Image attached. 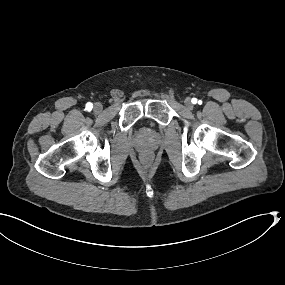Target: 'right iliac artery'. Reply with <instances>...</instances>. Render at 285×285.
I'll use <instances>...</instances> for the list:
<instances>
[{"label":"right iliac artery","mask_w":285,"mask_h":285,"mask_svg":"<svg viewBox=\"0 0 285 285\" xmlns=\"http://www.w3.org/2000/svg\"><path fill=\"white\" fill-rule=\"evenodd\" d=\"M92 107H93V104H92V103L88 102V103L86 104V109H87V110H91Z\"/></svg>","instance_id":"obj_1"}]
</instances>
